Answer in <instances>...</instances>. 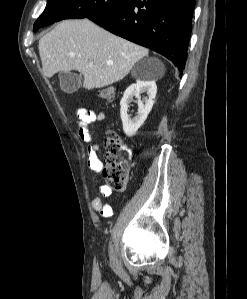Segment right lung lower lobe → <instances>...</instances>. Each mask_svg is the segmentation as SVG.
I'll list each match as a JSON object with an SVG mask.
<instances>
[{
	"label": "right lung lower lobe",
	"instance_id": "obj_1",
	"mask_svg": "<svg viewBox=\"0 0 247 299\" xmlns=\"http://www.w3.org/2000/svg\"><path fill=\"white\" fill-rule=\"evenodd\" d=\"M196 0H126L89 19L129 41L150 48L182 73Z\"/></svg>",
	"mask_w": 247,
	"mask_h": 299
}]
</instances>
